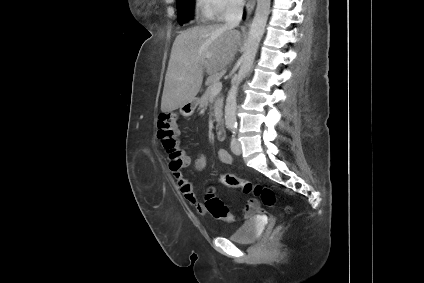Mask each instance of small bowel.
I'll use <instances>...</instances> for the list:
<instances>
[{
  "label": "small bowel",
  "instance_id": "obj_1",
  "mask_svg": "<svg viewBox=\"0 0 424 283\" xmlns=\"http://www.w3.org/2000/svg\"><path fill=\"white\" fill-rule=\"evenodd\" d=\"M217 156L218 160L225 165H231L233 162L232 156L225 149H219ZM188 161V166L192 164L195 172H201L206 166V157L203 154L198 155L193 163L189 157ZM172 174L185 200L192 205L199 214H206L207 211L204 203L198 200L194 193L192 183L184 176L182 170L172 171Z\"/></svg>",
  "mask_w": 424,
  "mask_h": 283
}]
</instances>
